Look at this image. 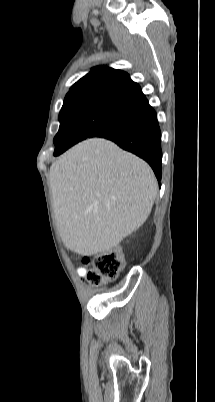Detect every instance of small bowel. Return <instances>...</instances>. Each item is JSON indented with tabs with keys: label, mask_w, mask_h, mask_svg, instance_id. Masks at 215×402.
Returning a JSON list of instances; mask_svg holds the SVG:
<instances>
[{
	"label": "small bowel",
	"mask_w": 215,
	"mask_h": 402,
	"mask_svg": "<svg viewBox=\"0 0 215 402\" xmlns=\"http://www.w3.org/2000/svg\"><path fill=\"white\" fill-rule=\"evenodd\" d=\"M86 273H87L86 269H84V268H79L78 269V274L80 276H84Z\"/></svg>",
	"instance_id": "obj_1"
}]
</instances>
